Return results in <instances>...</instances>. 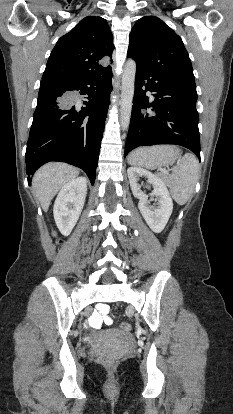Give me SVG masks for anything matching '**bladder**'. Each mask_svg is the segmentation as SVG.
I'll return each instance as SVG.
<instances>
[{"label": "bladder", "instance_id": "31cf9c89", "mask_svg": "<svg viewBox=\"0 0 233 414\" xmlns=\"http://www.w3.org/2000/svg\"><path fill=\"white\" fill-rule=\"evenodd\" d=\"M114 334L115 333L113 331H106V332L102 333V336H112Z\"/></svg>", "mask_w": 233, "mask_h": 414}]
</instances>
